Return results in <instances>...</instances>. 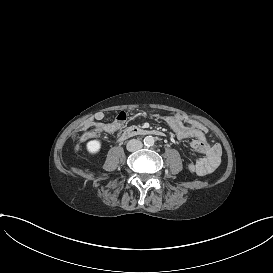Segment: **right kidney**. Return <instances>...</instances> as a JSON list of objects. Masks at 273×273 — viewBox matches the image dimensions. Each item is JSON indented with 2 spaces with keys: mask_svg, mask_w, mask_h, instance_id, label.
Segmentation results:
<instances>
[{
  "mask_svg": "<svg viewBox=\"0 0 273 273\" xmlns=\"http://www.w3.org/2000/svg\"><path fill=\"white\" fill-rule=\"evenodd\" d=\"M103 146V140L101 138L91 139L86 142L85 149L88 155L96 156L100 154Z\"/></svg>",
  "mask_w": 273,
  "mask_h": 273,
  "instance_id": "obj_1",
  "label": "right kidney"
}]
</instances>
